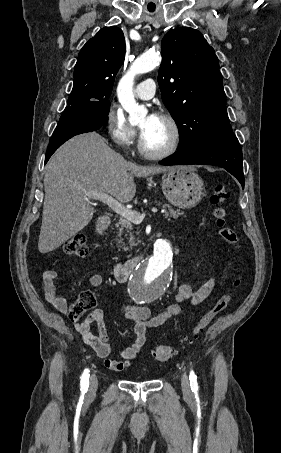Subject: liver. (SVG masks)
<instances>
[{
    "mask_svg": "<svg viewBox=\"0 0 281 453\" xmlns=\"http://www.w3.org/2000/svg\"><path fill=\"white\" fill-rule=\"evenodd\" d=\"M178 166H138L108 146L98 132L78 134L62 144L45 166L40 253L54 251L90 222L87 190L109 192L120 202L135 196L134 176H149Z\"/></svg>",
    "mask_w": 281,
    "mask_h": 453,
    "instance_id": "liver-1",
    "label": "liver"
}]
</instances>
